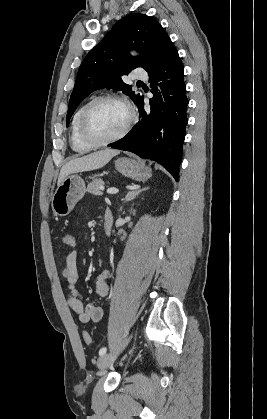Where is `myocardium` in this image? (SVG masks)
Listing matches in <instances>:
<instances>
[{
	"instance_id": "1",
	"label": "myocardium",
	"mask_w": 267,
	"mask_h": 419,
	"mask_svg": "<svg viewBox=\"0 0 267 419\" xmlns=\"http://www.w3.org/2000/svg\"><path fill=\"white\" fill-rule=\"evenodd\" d=\"M106 101H115V102H119V103L123 104L128 111V119H127V122L125 123L124 127L121 129V131L119 133H117L116 135H114V136H112L108 139L98 140V139L93 138L88 133L87 127H86L87 118H88V115H89L90 111L92 110V108L94 106H96L99 103L106 102ZM135 119H136L135 110H134L133 106L131 105V103L126 98H124L120 95H116V94L101 95V96H98V97L92 99L90 102H88L84 106V108H83V110L80 114V118H79L78 134H79L80 139L89 146H92V147L105 146V145L114 143V142L122 139L128 133V131L130 130L131 126L135 122Z\"/></svg>"
}]
</instances>
